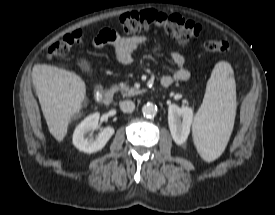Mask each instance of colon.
Wrapping results in <instances>:
<instances>
[{
  "label": "colon",
  "instance_id": "colon-1",
  "mask_svg": "<svg viewBox=\"0 0 275 215\" xmlns=\"http://www.w3.org/2000/svg\"><path fill=\"white\" fill-rule=\"evenodd\" d=\"M124 31L139 33L151 28H158L181 43L197 39L202 28L193 21L186 20L179 15H167L154 10L125 13L120 18ZM81 31L66 34L48 49L46 57L49 60L67 55L70 48L81 40ZM204 48L210 52L226 53L229 45L224 40L209 39L204 42Z\"/></svg>",
  "mask_w": 275,
  "mask_h": 215
}]
</instances>
